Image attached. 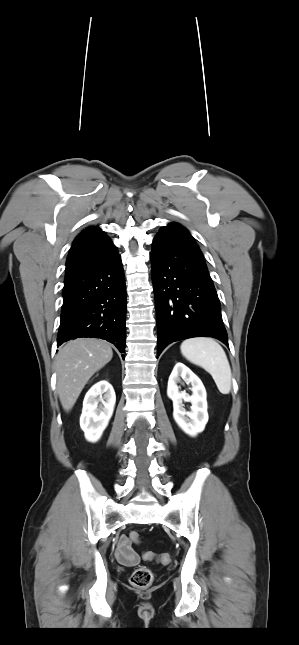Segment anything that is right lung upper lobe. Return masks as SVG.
Returning a JSON list of instances; mask_svg holds the SVG:
<instances>
[{
  "label": "right lung upper lobe",
  "instance_id": "1",
  "mask_svg": "<svg viewBox=\"0 0 299 645\" xmlns=\"http://www.w3.org/2000/svg\"><path fill=\"white\" fill-rule=\"evenodd\" d=\"M117 254L116 247L99 227L83 230L70 248L64 282L91 266L109 261Z\"/></svg>",
  "mask_w": 299,
  "mask_h": 645
}]
</instances>
